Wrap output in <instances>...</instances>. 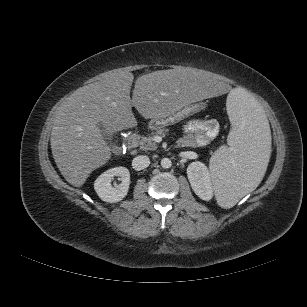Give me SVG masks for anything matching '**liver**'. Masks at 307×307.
<instances>
[{"instance_id":"liver-1","label":"liver","mask_w":307,"mask_h":307,"mask_svg":"<svg viewBox=\"0 0 307 307\" xmlns=\"http://www.w3.org/2000/svg\"><path fill=\"white\" fill-rule=\"evenodd\" d=\"M109 71L96 82L77 89L61 104L51 132L53 158L63 177L81 187L95 169L111 157L98 124L110 133L132 128V107L146 119L169 114L205 97L225 95L230 87L203 70L179 67L142 75ZM270 139V138H269Z\"/></svg>"}]
</instances>
